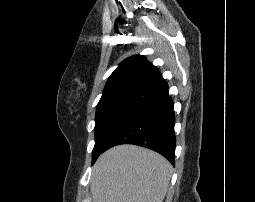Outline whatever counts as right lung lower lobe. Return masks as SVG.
Here are the masks:
<instances>
[{
  "label": "right lung lower lobe",
  "instance_id": "98d812e1",
  "mask_svg": "<svg viewBox=\"0 0 255 202\" xmlns=\"http://www.w3.org/2000/svg\"><path fill=\"white\" fill-rule=\"evenodd\" d=\"M174 123L173 102L167 95L136 112L110 139L105 150L119 144H135L160 153L174 165Z\"/></svg>",
  "mask_w": 255,
  "mask_h": 202
}]
</instances>
